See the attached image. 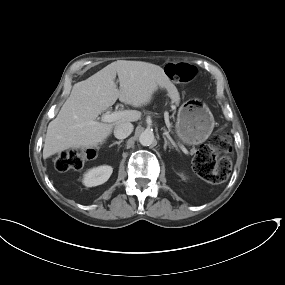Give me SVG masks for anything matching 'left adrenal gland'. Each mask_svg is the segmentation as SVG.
<instances>
[{"label": "left adrenal gland", "instance_id": "obj_1", "mask_svg": "<svg viewBox=\"0 0 285 285\" xmlns=\"http://www.w3.org/2000/svg\"><path fill=\"white\" fill-rule=\"evenodd\" d=\"M164 138V150H166L167 146L169 148H173V146L171 145V143L167 140V138L165 136H163Z\"/></svg>", "mask_w": 285, "mask_h": 285}]
</instances>
